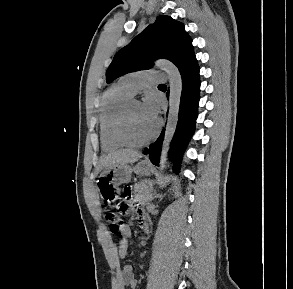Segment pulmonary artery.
<instances>
[{"instance_id":"obj_1","label":"pulmonary artery","mask_w":293,"mask_h":289,"mask_svg":"<svg viewBox=\"0 0 293 289\" xmlns=\"http://www.w3.org/2000/svg\"><path fill=\"white\" fill-rule=\"evenodd\" d=\"M165 80L162 72L143 70L124 76L119 82L132 94L135 95L143 87L152 83H161Z\"/></svg>"}]
</instances>
